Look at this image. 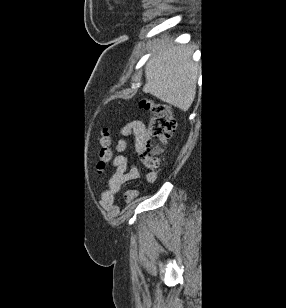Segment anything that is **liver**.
Listing matches in <instances>:
<instances>
[{"label": "liver", "mask_w": 286, "mask_h": 308, "mask_svg": "<svg viewBox=\"0 0 286 308\" xmlns=\"http://www.w3.org/2000/svg\"><path fill=\"white\" fill-rule=\"evenodd\" d=\"M171 42L165 37L155 43L145 67L146 83L142 90L186 111L196 96L198 67L191 59L190 48Z\"/></svg>", "instance_id": "1"}]
</instances>
